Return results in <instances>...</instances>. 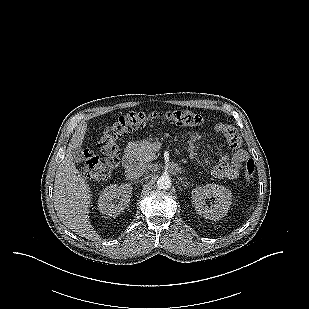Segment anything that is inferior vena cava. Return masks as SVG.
Segmentation results:
<instances>
[{
  "label": "inferior vena cava",
  "mask_w": 309,
  "mask_h": 309,
  "mask_svg": "<svg viewBox=\"0 0 309 309\" xmlns=\"http://www.w3.org/2000/svg\"><path fill=\"white\" fill-rule=\"evenodd\" d=\"M146 171V166L142 164L133 165L125 171V177L128 180L140 178Z\"/></svg>",
  "instance_id": "obj_1"
}]
</instances>
